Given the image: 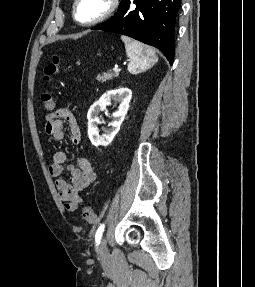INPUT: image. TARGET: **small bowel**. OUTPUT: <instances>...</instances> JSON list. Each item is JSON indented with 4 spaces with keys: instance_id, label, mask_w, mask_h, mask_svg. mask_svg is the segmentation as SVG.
<instances>
[{
    "instance_id": "small-bowel-1",
    "label": "small bowel",
    "mask_w": 255,
    "mask_h": 287,
    "mask_svg": "<svg viewBox=\"0 0 255 287\" xmlns=\"http://www.w3.org/2000/svg\"><path fill=\"white\" fill-rule=\"evenodd\" d=\"M64 122L69 124L70 138L77 145L80 141V129L69 105L46 116L45 132L55 140L63 139ZM48 170L50 175L56 178L55 188L65 209L69 212L76 211L82 202L81 193L96 180L91 162L80 157L74 163H67L66 153L57 151Z\"/></svg>"
}]
</instances>
